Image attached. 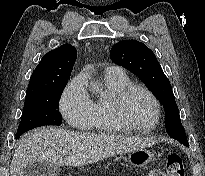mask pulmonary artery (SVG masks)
Wrapping results in <instances>:
<instances>
[{
  "label": "pulmonary artery",
  "mask_w": 205,
  "mask_h": 176,
  "mask_svg": "<svg viewBox=\"0 0 205 176\" xmlns=\"http://www.w3.org/2000/svg\"><path fill=\"white\" fill-rule=\"evenodd\" d=\"M106 73H123V69L119 66H108L105 70Z\"/></svg>",
  "instance_id": "pulmonary-artery-1"
}]
</instances>
